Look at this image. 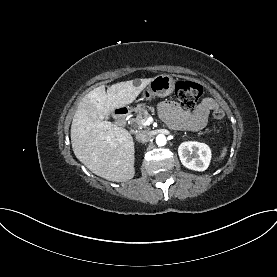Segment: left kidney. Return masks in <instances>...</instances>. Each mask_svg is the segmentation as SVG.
I'll list each match as a JSON object with an SVG mask.
<instances>
[{
    "label": "left kidney",
    "mask_w": 277,
    "mask_h": 277,
    "mask_svg": "<svg viewBox=\"0 0 277 277\" xmlns=\"http://www.w3.org/2000/svg\"><path fill=\"white\" fill-rule=\"evenodd\" d=\"M181 163L188 169L204 171L211 160V150L205 143L196 141L183 142L178 147Z\"/></svg>",
    "instance_id": "5707ae66"
}]
</instances>
